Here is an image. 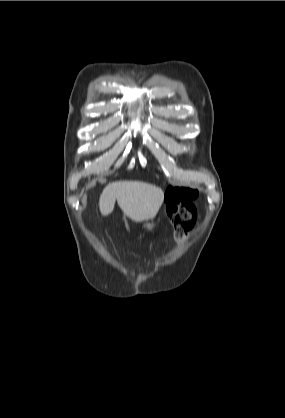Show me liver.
Segmentation results:
<instances>
[{"mask_svg": "<svg viewBox=\"0 0 285 418\" xmlns=\"http://www.w3.org/2000/svg\"><path fill=\"white\" fill-rule=\"evenodd\" d=\"M124 215L135 222L154 219L163 200L161 188L140 181H118L108 184L99 199L103 216L112 213L115 201Z\"/></svg>", "mask_w": 285, "mask_h": 418, "instance_id": "liver-1", "label": "liver"}]
</instances>
